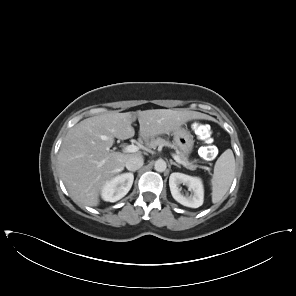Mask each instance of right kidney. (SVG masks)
Masks as SVG:
<instances>
[{"instance_id":"right-kidney-1","label":"right kidney","mask_w":296,"mask_h":296,"mask_svg":"<svg viewBox=\"0 0 296 296\" xmlns=\"http://www.w3.org/2000/svg\"><path fill=\"white\" fill-rule=\"evenodd\" d=\"M134 181L132 173H123L107 181L101 190V197L107 202H116L122 199L131 189Z\"/></svg>"}]
</instances>
